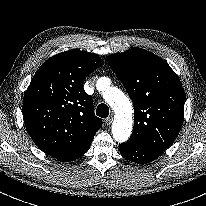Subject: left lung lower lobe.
Here are the masks:
<instances>
[{
    "label": "left lung lower lobe",
    "mask_w": 206,
    "mask_h": 206,
    "mask_svg": "<svg viewBox=\"0 0 206 206\" xmlns=\"http://www.w3.org/2000/svg\"><path fill=\"white\" fill-rule=\"evenodd\" d=\"M119 150L124 158L138 164L151 162L163 153V151L152 149L130 141L120 144Z\"/></svg>",
    "instance_id": "left-lung-lower-lobe-1"
}]
</instances>
